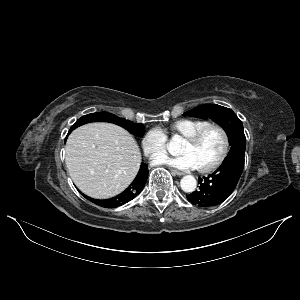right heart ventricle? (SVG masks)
<instances>
[{
    "mask_svg": "<svg viewBox=\"0 0 300 300\" xmlns=\"http://www.w3.org/2000/svg\"><path fill=\"white\" fill-rule=\"evenodd\" d=\"M208 123L207 120L183 118L173 122L169 129L174 135L186 138Z\"/></svg>",
    "mask_w": 300,
    "mask_h": 300,
    "instance_id": "e07e8e85",
    "label": "right heart ventricle"
}]
</instances>
